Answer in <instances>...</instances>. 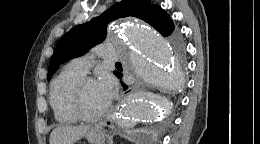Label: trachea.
Masks as SVG:
<instances>
[{
    "mask_svg": "<svg viewBox=\"0 0 260 144\" xmlns=\"http://www.w3.org/2000/svg\"><path fill=\"white\" fill-rule=\"evenodd\" d=\"M116 64H117V65H121V63H120V62H117Z\"/></svg>",
    "mask_w": 260,
    "mask_h": 144,
    "instance_id": "3493384b",
    "label": "trachea"
}]
</instances>
